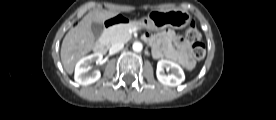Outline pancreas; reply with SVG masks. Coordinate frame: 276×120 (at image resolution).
<instances>
[{"mask_svg":"<svg viewBox=\"0 0 276 120\" xmlns=\"http://www.w3.org/2000/svg\"><path fill=\"white\" fill-rule=\"evenodd\" d=\"M136 24H118L109 28L105 32L107 44H114L117 42H127L131 39L129 29L135 27Z\"/></svg>","mask_w":276,"mask_h":120,"instance_id":"cf45deb5","label":"pancreas"}]
</instances>
